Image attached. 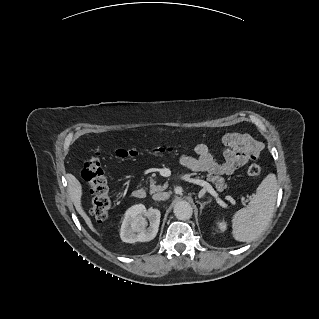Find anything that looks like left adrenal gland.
<instances>
[{"mask_svg": "<svg viewBox=\"0 0 319 319\" xmlns=\"http://www.w3.org/2000/svg\"><path fill=\"white\" fill-rule=\"evenodd\" d=\"M208 203H210V200H208L206 202L198 201V204H200V212H202V210L204 209L205 205H207Z\"/></svg>", "mask_w": 319, "mask_h": 319, "instance_id": "left-adrenal-gland-1", "label": "left adrenal gland"}]
</instances>
